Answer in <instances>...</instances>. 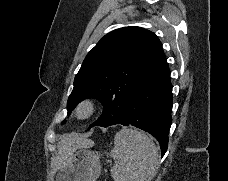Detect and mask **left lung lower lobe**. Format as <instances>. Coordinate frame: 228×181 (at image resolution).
I'll return each mask as SVG.
<instances>
[{"label": "left lung lower lobe", "instance_id": "1", "mask_svg": "<svg viewBox=\"0 0 228 181\" xmlns=\"http://www.w3.org/2000/svg\"><path fill=\"white\" fill-rule=\"evenodd\" d=\"M172 105L170 70L163 55L136 84L123 117L115 124L132 125L148 132L158 140L164 156L172 124Z\"/></svg>", "mask_w": 228, "mask_h": 181}]
</instances>
